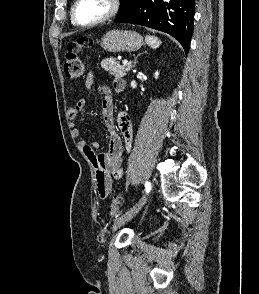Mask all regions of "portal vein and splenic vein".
Returning <instances> with one entry per match:
<instances>
[{
  "instance_id": "18ae733b",
  "label": "portal vein and splenic vein",
  "mask_w": 259,
  "mask_h": 294,
  "mask_svg": "<svg viewBox=\"0 0 259 294\" xmlns=\"http://www.w3.org/2000/svg\"><path fill=\"white\" fill-rule=\"evenodd\" d=\"M123 65H130V63L127 60L122 61Z\"/></svg>"
}]
</instances>
